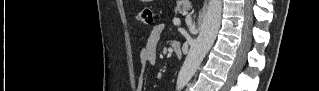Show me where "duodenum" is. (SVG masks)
<instances>
[{
    "instance_id": "410a0bca",
    "label": "duodenum",
    "mask_w": 319,
    "mask_h": 91,
    "mask_svg": "<svg viewBox=\"0 0 319 91\" xmlns=\"http://www.w3.org/2000/svg\"><path fill=\"white\" fill-rule=\"evenodd\" d=\"M171 49L177 56L181 55V47H180V43L178 41L171 42Z\"/></svg>"
}]
</instances>
